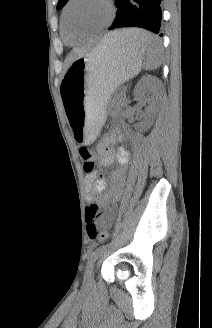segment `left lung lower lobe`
<instances>
[{
  "label": "left lung lower lobe",
  "instance_id": "left-lung-lower-lobe-1",
  "mask_svg": "<svg viewBox=\"0 0 212 328\" xmlns=\"http://www.w3.org/2000/svg\"><path fill=\"white\" fill-rule=\"evenodd\" d=\"M161 0H115L117 5L116 19L109 30L122 27H140L152 31L159 36L161 26ZM155 37V36H154ZM160 44L157 37L147 42V45Z\"/></svg>",
  "mask_w": 212,
  "mask_h": 328
}]
</instances>
